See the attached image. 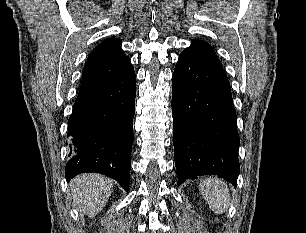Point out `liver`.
Instances as JSON below:
<instances>
[{
	"label": "liver",
	"instance_id": "obj_1",
	"mask_svg": "<svg viewBox=\"0 0 306 233\" xmlns=\"http://www.w3.org/2000/svg\"><path fill=\"white\" fill-rule=\"evenodd\" d=\"M112 189L113 183L109 178L94 173L81 174L70 183L73 203L90 218L106 205Z\"/></svg>",
	"mask_w": 306,
	"mask_h": 233
}]
</instances>
